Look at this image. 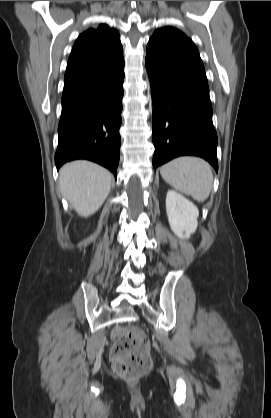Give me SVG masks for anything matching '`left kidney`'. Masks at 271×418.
I'll return each mask as SVG.
<instances>
[{"mask_svg": "<svg viewBox=\"0 0 271 418\" xmlns=\"http://www.w3.org/2000/svg\"><path fill=\"white\" fill-rule=\"evenodd\" d=\"M166 211L174 234L182 239L190 238L197 229L198 208L181 194L169 190L166 196Z\"/></svg>", "mask_w": 271, "mask_h": 418, "instance_id": "5707ae66", "label": "left kidney"}]
</instances>
